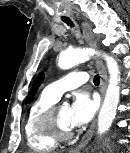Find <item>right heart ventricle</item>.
<instances>
[{
  "instance_id": "obj_1",
  "label": "right heart ventricle",
  "mask_w": 130,
  "mask_h": 153,
  "mask_svg": "<svg viewBox=\"0 0 130 153\" xmlns=\"http://www.w3.org/2000/svg\"><path fill=\"white\" fill-rule=\"evenodd\" d=\"M58 100L45 91L31 106L24 123V136L28 147L38 152H49L58 145V140L47 134L39 124L43 112Z\"/></svg>"
}]
</instances>
